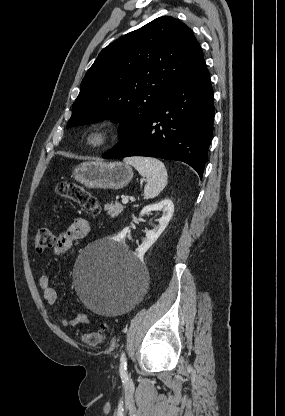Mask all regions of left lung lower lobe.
Masks as SVG:
<instances>
[{
    "instance_id": "1",
    "label": "left lung lower lobe",
    "mask_w": 285,
    "mask_h": 416,
    "mask_svg": "<svg viewBox=\"0 0 285 416\" xmlns=\"http://www.w3.org/2000/svg\"><path fill=\"white\" fill-rule=\"evenodd\" d=\"M213 100L203 58L192 75L103 158L147 156L178 160L193 167L202 178L213 134Z\"/></svg>"
}]
</instances>
